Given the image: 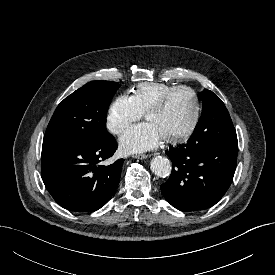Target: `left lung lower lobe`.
<instances>
[{
    "label": "left lung lower lobe",
    "instance_id": "obj_1",
    "mask_svg": "<svg viewBox=\"0 0 275 275\" xmlns=\"http://www.w3.org/2000/svg\"><path fill=\"white\" fill-rule=\"evenodd\" d=\"M238 147L177 146L166 154L172 173L161 185L165 199L184 212L201 211L215 205L228 190L234 176Z\"/></svg>",
    "mask_w": 275,
    "mask_h": 275
}]
</instances>
